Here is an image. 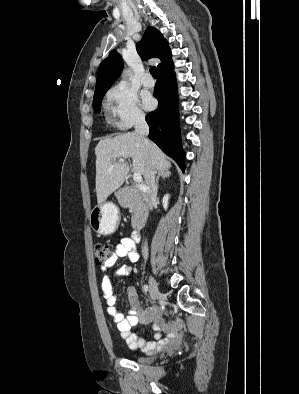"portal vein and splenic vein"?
<instances>
[{
  "label": "portal vein and splenic vein",
  "mask_w": 299,
  "mask_h": 394,
  "mask_svg": "<svg viewBox=\"0 0 299 394\" xmlns=\"http://www.w3.org/2000/svg\"><path fill=\"white\" fill-rule=\"evenodd\" d=\"M120 163H124V159H122V158H120L119 160H118ZM133 179H134V181L135 182H137V183H142V176H141V174L140 173H134L133 174Z\"/></svg>",
  "instance_id": "1"
}]
</instances>
